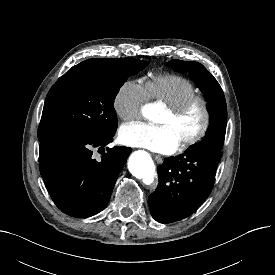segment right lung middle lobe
Returning a JSON list of instances; mask_svg holds the SVG:
<instances>
[{"instance_id": "obj_1", "label": "right lung middle lobe", "mask_w": 275, "mask_h": 275, "mask_svg": "<svg viewBox=\"0 0 275 275\" xmlns=\"http://www.w3.org/2000/svg\"><path fill=\"white\" fill-rule=\"evenodd\" d=\"M149 62L89 59L73 66L49 90L38 139L88 138L116 132L114 99L127 78Z\"/></svg>"}]
</instances>
